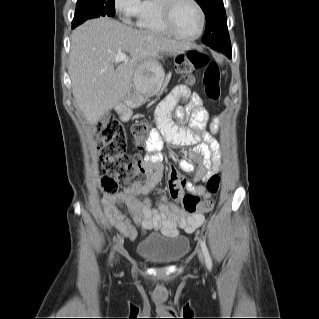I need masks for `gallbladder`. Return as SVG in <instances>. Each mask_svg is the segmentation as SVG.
Returning a JSON list of instances; mask_svg holds the SVG:
<instances>
[{"instance_id":"1","label":"gallbladder","mask_w":319,"mask_h":319,"mask_svg":"<svg viewBox=\"0 0 319 319\" xmlns=\"http://www.w3.org/2000/svg\"><path fill=\"white\" fill-rule=\"evenodd\" d=\"M109 116H110V113L107 112V113L102 117V119L107 118V117H109Z\"/></svg>"}]
</instances>
